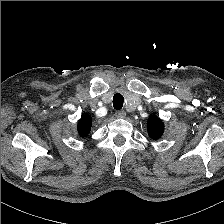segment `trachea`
Returning a JSON list of instances; mask_svg holds the SVG:
<instances>
[{"label":"trachea","instance_id":"obj_1","mask_svg":"<svg viewBox=\"0 0 224 224\" xmlns=\"http://www.w3.org/2000/svg\"><path fill=\"white\" fill-rule=\"evenodd\" d=\"M124 97L120 93H116L113 97L114 109L120 110L123 107Z\"/></svg>","mask_w":224,"mask_h":224}]
</instances>
